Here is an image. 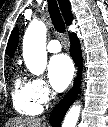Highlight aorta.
Returning a JSON list of instances; mask_svg holds the SVG:
<instances>
[{
	"mask_svg": "<svg viewBox=\"0 0 108 127\" xmlns=\"http://www.w3.org/2000/svg\"><path fill=\"white\" fill-rule=\"evenodd\" d=\"M46 25L42 21H32L23 39V58L27 69L34 75L44 73L47 65ZM81 105H73L63 121L62 127H76Z\"/></svg>",
	"mask_w": 108,
	"mask_h": 127,
	"instance_id": "obj_1",
	"label": "aorta"
}]
</instances>
